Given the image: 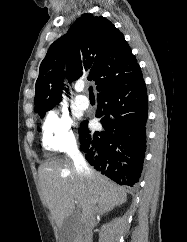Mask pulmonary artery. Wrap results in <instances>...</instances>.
<instances>
[{"instance_id":"1","label":"pulmonary artery","mask_w":187,"mask_h":242,"mask_svg":"<svg viewBox=\"0 0 187 242\" xmlns=\"http://www.w3.org/2000/svg\"><path fill=\"white\" fill-rule=\"evenodd\" d=\"M84 90L83 85H77L76 86V91L77 92H82ZM75 103L79 108L86 109L89 106V100L86 96L78 94L75 98Z\"/></svg>"}]
</instances>
